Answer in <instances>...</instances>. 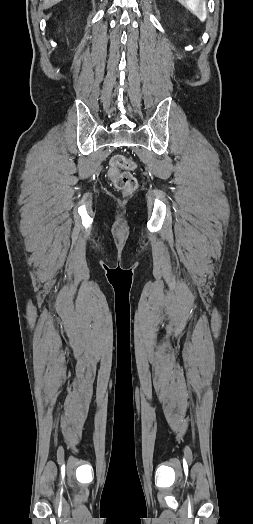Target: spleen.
<instances>
[{"instance_id": "spleen-1", "label": "spleen", "mask_w": 253, "mask_h": 524, "mask_svg": "<svg viewBox=\"0 0 253 524\" xmlns=\"http://www.w3.org/2000/svg\"><path fill=\"white\" fill-rule=\"evenodd\" d=\"M191 13H193L200 21L206 20V8L203 5V0H177Z\"/></svg>"}]
</instances>
